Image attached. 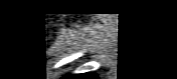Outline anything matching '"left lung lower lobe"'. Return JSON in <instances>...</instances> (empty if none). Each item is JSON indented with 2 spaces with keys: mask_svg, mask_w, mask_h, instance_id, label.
<instances>
[{
  "mask_svg": "<svg viewBox=\"0 0 177 79\" xmlns=\"http://www.w3.org/2000/svg\"><path fill=\"white\" fill-rule=\"evenodd\" d=\"M67 79H95L94 75H89V74H79V75H73L66 77Z\"/></svg>",
  "mask_w": 177,
  "mask_h": 79,
  "instance_id": "1",
  "label": "left lung lower lobe"
}]
</instances>
